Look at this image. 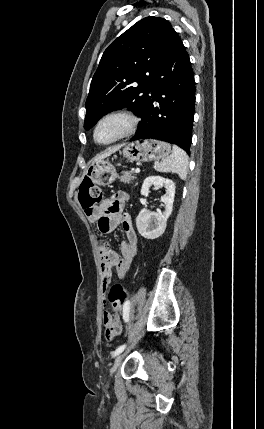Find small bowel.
<instances>
[{
  "instance_id": "small-bowel-1",
  "label": "small bowel",
  "mask_w": 264,
  "mask_h": 429,
  "mask_svg": "<svg viewBox=\"0 0 264 429\" xmlns=\"http://www.w3.org/2000/svg\"><path fill=\"white\" fill-rule=\"evenodd\" d=\"M127 200V193L118 191L96 206L92 212H86L88 220L96 224L99 231L109 233L121 225L126 235V240L120 244V255L113 250L108 241H99L101 285L104 298L103 324L108 340H112L122 332L119 316L110 313L106 309L105 295L111 282L112 270L116 271L119 279H124L138 251V238L131 218L126 214H122V209Z\"/></svg>"
}]
</instances>
